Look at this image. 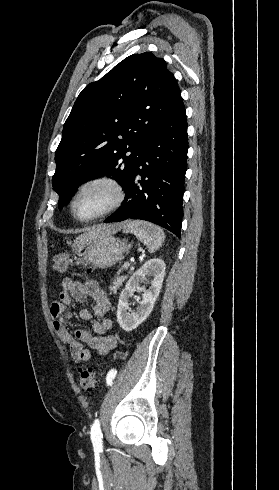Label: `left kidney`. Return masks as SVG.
Segmentation results:
<instances>
[{
  "mask_svg": "<svg viewBox=\"0 0 279 490\" xmlns=\"http://www.w3.org/2000/svg\"><path fill=\"white\" fill-rule=\"evenodd\" d=\"M164 276L165 264L160 258L148 260L137 272H134L119 296L116 318L122 330L132 332L148 318L160 294ZM148 280H151L149 288H145V286L140 288V282H148ZM137 290L143 292V298L141 302H138L140 306L136 312H131L129 298L134 296V292H137Z\"/></svg>",
  "mask_w": 279,
  "mask_h": 490,
  "instance_id": "obj_1",
  "label": "left kidney"
}]
</instances>
